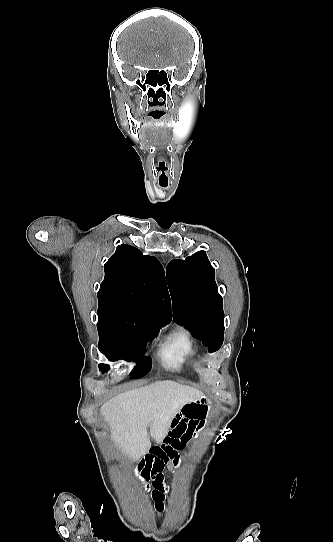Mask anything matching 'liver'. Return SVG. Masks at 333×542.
<instances>
[{
  "label": "liver",
  "instance_id": "6515ba94",
  "mask_svg": "<svg viewBox=\"0 0 333 542\" xmlns=\"http://www.w3.org/2000/svg\"><path fill=\"white\" fill-rule=\"evenodd\" d=\"M200 396L203 394L196 388L164 380L118 394L102 406L101 414L116 446L137 462L151 448L147 428L156 444H162L176 414Z\"/></svg>",
  "mask_w": 333,
  "mask_h": 542
}]
</instances>
